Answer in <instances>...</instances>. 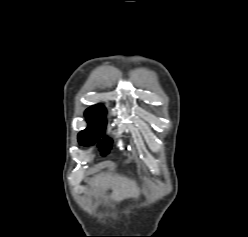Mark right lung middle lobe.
<instances>
[{"mask_svg": "<svg viewBox=\"0 0 248 237\" xmlns=\"http://www.w3.org/2000/svg\"><path fill=\"white\" fill-rule=\"evenodd\" d=\"M86 119L88 128L78 134V141L80 145L89 146L94 144L103 135L106 120L87 116ZM98 147L102 155H105L112 147V140L104 137V139L98 143Z\"/></svg>", "mask_w": 248, "mask_h": 237, "instance_id": "obj_1", "label": "right lung middle lobe"}]
</instances>
